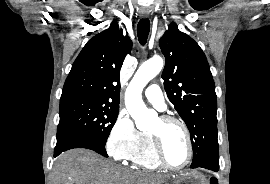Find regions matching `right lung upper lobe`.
Listing matches in <instances>:
<instances>
[{"mask_svg": "<svg viewBox=\"0 0 270 184\" xmlns=\"http://www.w3.org/2000/svg\"><path fill=\"white\" fill-rule=\"evenodd\" d=\"M131 49V39L123 36L114 20L86 43L72 65L61 99L85 98L119 107L120 69Z\"/></svg>", "mask_w": 270, "mask_h": 184, "instance_id": "cb5924a9", "label": "right lung upper lobe"}]
</instances>
